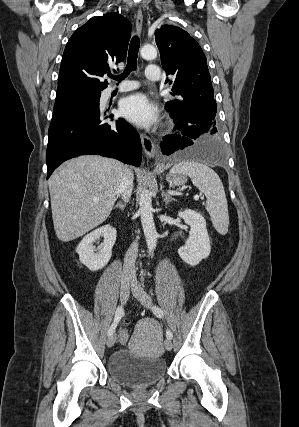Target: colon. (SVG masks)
<instances>
[{
	"instance_id": "colon-1",
	"label": "colon",
	"mask_w": 299,
	"mask_h": 427,
	"mask_svg": "<svg viewBox=\"0 0 299 427\" xmlns=\"http://www.w3.org/2000/svg\"><path fill=\"white\" fill-rule=\"evenodd\" d=\"M129 338V333L127 330H123V334H122V342H126Z\"/></svg>"
}]
</instances>
